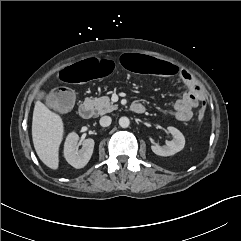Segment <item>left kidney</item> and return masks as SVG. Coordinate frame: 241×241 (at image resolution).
Listing matches in <instances>:
<instances>
[{
    "label": "left kidney",
    "instance_id": "5707ae66",
    "mask_svg": "<svg viewBox=\"0 0 241 241\" xmlns=\"http://www.w3.org/2000/svg\"><path fill=\"white\" fill-rule=\"evenodd\" d=\"M167 130L173 136V140L168 141L166 145H152V151L159 156H171L181 151L185 145L184 135L175 127L169 126Z\"/></svg>",
    "mask_w": 241,
    "mask_h": 241
}]
</instances>
